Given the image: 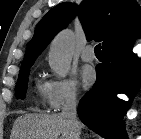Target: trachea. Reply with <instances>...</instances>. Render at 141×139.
<instances>
[{"mask_svg":"<svg viewBox=\"0 0 141 139\" xmlns=\"http://www.w3.org/2000/svg\"><path fill=\"white\" fill-rule=\"evenodd\" d=\"M95 54H101V44H98L94 49Z\"/></svg>","mask_w":141,"mask_h":139,"instance_id":"1","label":"trachea"}]
</instances>
